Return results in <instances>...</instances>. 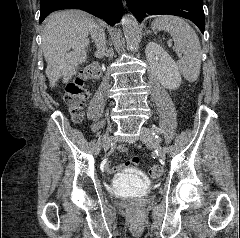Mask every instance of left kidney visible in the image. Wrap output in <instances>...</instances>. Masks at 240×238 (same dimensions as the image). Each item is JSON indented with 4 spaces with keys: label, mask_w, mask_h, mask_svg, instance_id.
<instances>
[{
    "label": "left kidney",
    "mask_w": 240,
    "mask_h": 238,
    "mask_svg": "<svg viewBox=\"0 0 240 238\" xmlns=\"http://www.w3.org/2000/svg\"><path fill=\"white\" fill-rule=\"evenodd\" d=\"M145 55L153 74L166 89L175 90L181 85L179 68L162 46L149 42Z\"/></svg>",
    "instance_id": "5707ae66"
}]
</instances>
